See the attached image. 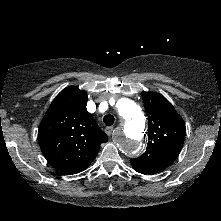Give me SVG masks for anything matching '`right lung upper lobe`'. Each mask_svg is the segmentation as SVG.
<instances>
[{
  "instance_id": "1",
  "label": "right lung upper lobe",
  "mask_w": 221,
  "mask_h": 221,
  "mask_svg": "<svg viewBox=\"0 0 221 221\" xmlns=\"http://www.w3.org/2000/svg\"><path fill=\"white\" fill-rule=\"evenodd\" d=\"M85 91L71 86L51 103L38 130V141L47 161L65 174L86 169L100 144L108 141L86 109Z\"/></svg>"
}]
</instances>
